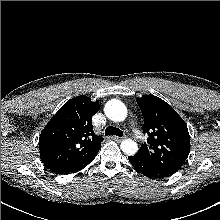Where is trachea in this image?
<instances>
[{
	"label": "trachea",
	"mask_w": 220,
	"mask_h": 220,
	"mask_svg": "<svg viewBox=\"0 0 220 220\" xmlns=\"http://www.w3.org/2000/svg\"><path fill=\"white\" fill-rule=\"evenodd\" d=\"M108 135H115L118 137H122L123 132L119 128L108 126L105 130V136H108Z\"/></svg>",
	"instance_id": "trachea-1"
}]
</instances>
